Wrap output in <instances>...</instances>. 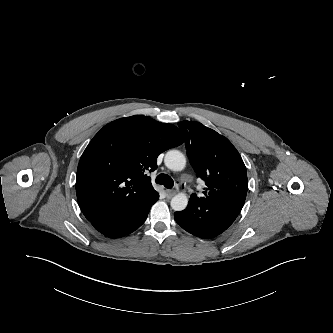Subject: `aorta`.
<instances>
[{
	"label": "aorta",
	"instance_id": "obj_1",
	"mask_svg": "<svg viewBox=\"0 0 333 333\" xmlns=\"http://www.w3.org/2000/svg\"><path fill=\"white\" fill-rule=\"evenodd\" d=\"M164 163L172 171H181L185 168L186 158L178 150H170L166 153ZM188 197L184 193L175 195L171 200V207L174 211H182L187 207Z\"/></svg>",
	"mask_w": 333,
	"mask_h": 333
}]
</instances>
